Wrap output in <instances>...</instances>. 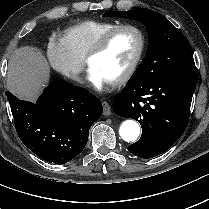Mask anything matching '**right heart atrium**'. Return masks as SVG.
Instances as JSON below:
<instances>
[{"instance_id":"d8ad5b80","label":"right heart atrium","mask_w":209,"mask_h":209,"mask_svg":"<svg viewBox=\"0 0 209 209\" xmlns=\"http://www.w3.org/2000/svg\"><path fill=\"white\" fill-rule=\"evenodd\" d=\"M46 55L50 65L60 74L75 82H82L84 60L70 48L63 36L55 35L49 39Z\"/></svg>"}]
</instances>
